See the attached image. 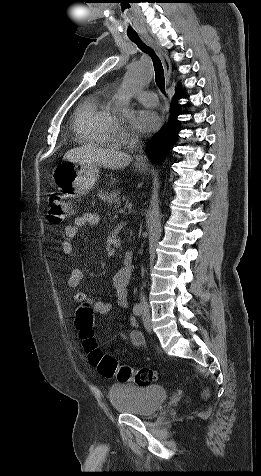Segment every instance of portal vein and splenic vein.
<instances>
[{
    "label": "portal vein and splenic vein",
    "instance_id": "18ae733b",
    "mask_svg": "<svg viewBox=\"0 0 261 476\" xmlns=\"http://www.w3.org/2000/svg\"><path fill=\"white\" fill-rule=\"evenodd\" d=\"M119 212H120V213H123V212H124V210H123V209H120V211H119Z\"/></svg>",
    "mask_w": 261,
    "mask_h": 476
}]
</instances>
